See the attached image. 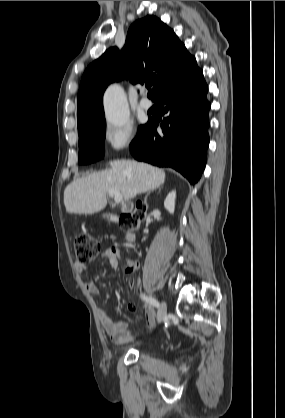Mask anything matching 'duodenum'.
Wrapping results in <instances>:
<instances>
[{
    "label": "duodenum",
    "mask_w": 285,
    "mask_h": 418,
    "mask_svg": "<svg viewBox=\"0 0 285 418\" xmlns=\"http://www.w3.org/2000/svg\"><path fill=\"white\" fill-rule=\"evenodd\" d=\"M108 218H109L110 220H113V221L117 222V219L115 218V216H114L113 214H108ZM126 239H127V241H128L129 243H131V242H133V240H134V235H133V234H131V233H128V234L126 235Z\"/></svg>",
    "instance_id": "duodenum-1"
}]
</instances>
